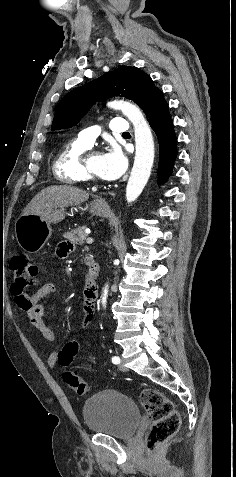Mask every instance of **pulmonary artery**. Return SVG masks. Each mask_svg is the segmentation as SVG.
Here are the masks:
<instances>
[{
	"mask_svg": "<svg viewBox=\"0 0 236 477\" xmlns=\"http://www.w3.org/2000/svg\"><path fill=\"white\" fill-rule=\"evenodd\" d=\"M109 130L123 134L130 131V126L129 123L123 118H113L110 121ZM97 136V127H89L79 132L77 141L88 147H91Z\"/></svg>",
	"mask_w": 236,
	"mask_h": 477,
	"instance_id": "obj_1",
	"label": "pulmonary artery"
}]
</instances>
